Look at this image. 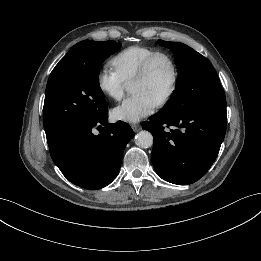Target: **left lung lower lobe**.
Returning <instances> with one entry per match:
<instances>
[{"mask_svg":"<svg viewBox=\"0 0 261 261\" xmlns=\"http://www.w3.org/2000/svg\"><path fill=\"white\" fill-rule=\"evenodd\" d=\"M226 104L202 107L183 115L159 112L143 128L154 138L151 160L165 181L188 185L215 161L226 132ZM163 125L176 129L164 130Z\"/></svg>","mask_w":261,"mask_h":261,"instance_id":"1","label":"left lung lower lobe"}]
</instances>
